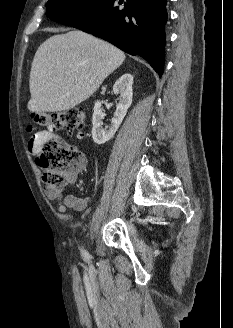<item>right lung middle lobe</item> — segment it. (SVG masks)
<instances>
[{"label":"right lung middle lobe","instance_id":"right-lung-middle-lobe-1","mask_svg":"<svg viewBox=\"0 0 233 328\" xmlns=\"http://www.w3.org/2000/svg\"><path fill=\"white\" fill-rule=\"evenodd\" d=\"M99 0H49L46 4V15L51 20L58 21L72 13L85 9Z\"/></svg>","mask_w":233,"mask_h":328}]
</instances>
